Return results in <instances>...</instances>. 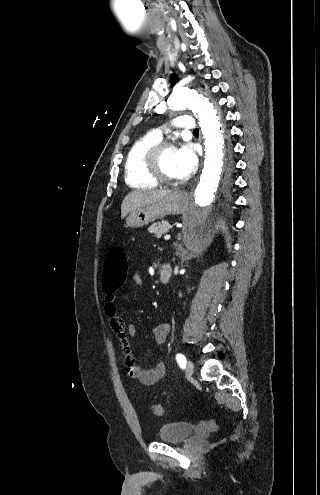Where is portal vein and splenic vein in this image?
<instances>
[{"label": "portal vein and splenic vein", "instance_id": "18ae733b", "mask_svg": "<svg viewBox=\"0 0 320 495\" xmlns=\"http://www.w3.org/2000/svg\"><path fill=\"white\" fill-rule=\"evenodd\" d=\"M169 238H170V235L164 236V239H169Z\"/></svg>", "mask_w": 320, "mask_h": 495}]
</instances>
